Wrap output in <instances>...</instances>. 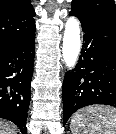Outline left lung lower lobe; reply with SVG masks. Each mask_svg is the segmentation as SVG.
Returning a JSON list of instances; mask_svg holds the SVG:
<instances>
[{
    "instance_id": "obj_1",
    "label": "left lung lower lobe",
    "mask_w": 116,
    "mask_h": 134,
    "mask_svg": "<svg viewBox=\"0 0 116 134\" xmlns=\"http://www.w3.org/2000/svg\"><path fill=\"white\" fill-rule=\"evenodd\" d=\"M83 46L78 63L63 82L64 126L78 109L93 104L116 107V23L81 17Z\"/></svg>"
}]
</instances>
